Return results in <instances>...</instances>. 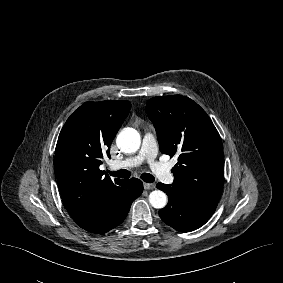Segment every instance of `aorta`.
<instances>
[{
    "mask_svg": "<svg viewBox=\"0 0 283 283\" xmlns=\"http://www.w3.org/2000/svg\"><path fill=\"white\" fill-rule=\"evenodd\" d=\"M140 135L133 128L123 129L117 136L116 144L124 153H135L140 147ZM167 195L161 190L149 194V202L156 209H162L167 204Z\"/></svg>",
    "mask_w": 283,
    "mask_h": 283,
    "instance_id": "obj_1",
    "label": "aorta"
}]
</instances>
